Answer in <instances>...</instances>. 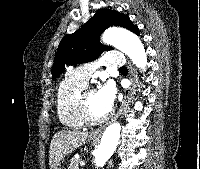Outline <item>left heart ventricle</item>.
<instances>
[{"label":"left heart ventricle","instance_id":"obj_1","mask_svg":"<svg viewBox=\"0 0 200 169\" xmlns=\"http://www.w3.org/2000/svg\"><path fill=\"white\" fill-rule=\"evenodd\" d=\"M87 105L94 118H101L107 114L103 105L101 104L97 91L90 92L86 95Z\"/></svg>","mask_w":200,"mask_h":169}]
</instances>
